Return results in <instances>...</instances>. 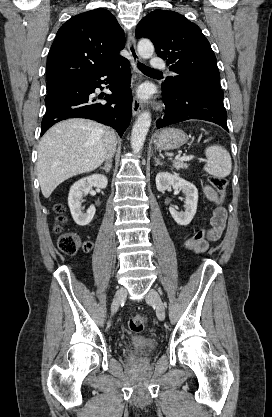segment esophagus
Here are the masks:
<instances>
[{
    "instance_id": "34e87169",
    "label": "esophagus",
    "mask_w": 272,
    "mask_h": 417,
    "mask_svg": "<svg viewBox=\"0 0 272 417\" xmlns=\"http://www.w3.org/2000/svg\"><path fill=\"white\" fill-rule=\"evenodd\" d=\"M127 48L129 50V53L131 55V60H132V67L133 70L137 73L139 79L141 78V73L138 70V66L137 64L140 62V56L137 52L136 49V41L135 38L133 36V34H130L128 36L127 39ZM143 109V104L140 100H138L137 98H134L133 100V104H132V114L133 116L138 115Z\"/></svg>"
}]
</instances>
